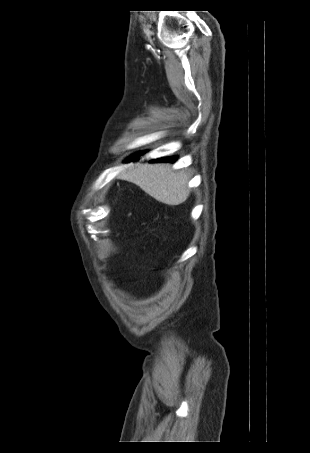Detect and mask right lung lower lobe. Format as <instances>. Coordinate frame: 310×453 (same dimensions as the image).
Instances as JSON below:
<instances>
[{"label":"right lung lower lobe","mask_w":310,"mask_h":453,"mask_svg":"<svg viewBox=\"0 0 310 453\" xmlns=\"http://www.w3.org/2000/svg\"><path fill=\"white\" fill-rule=\"evenodd\" d=\"M141 154V153H140ZM138 158V155H134L133 157H131L129 160H127L126 162H129V161H133V160H136ZM176 160L175 157H170V158H161V159H157L158 162H174Z\"/></svg>","instance_id":"obj_1"}]
</instances>
